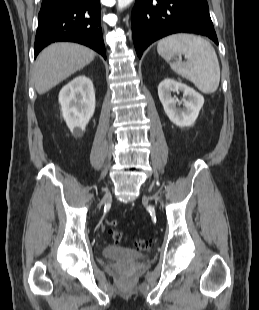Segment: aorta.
<instances>
[{
  "label": "aorta",
  "mask_w": 259,
  "mask_h": 310,
  "mask_svg": "<svg viewBox=\"0 0 259 310\" xmlns=\"http://www.w3.org/2000/svg\"><path fill=\"white\" fill-rule=\"evenodd\" d=\"M132 2L133 0H118L117 7L119 10H123L124 8L129 6Z\"/></svg>",
  "instance_id": "obj_1"
}]
</instances>
